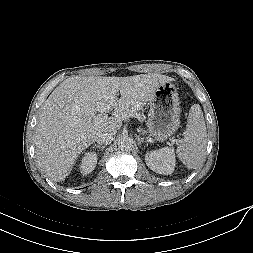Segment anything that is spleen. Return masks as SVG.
Listing matches in <instances>:
<instances>
[{"label": "spleen", "mask_w": 253, "mask_h": 253, "mask_svg": "<svg viewBox=\"0 0 253 253\" xmlns=\"http://www.w3.org/2000/svg\"><path fill=\"white\" fill-rule=\"evenodd\" d=\"M207 133L203 113L199 104L190 108L183 138L177 147V156L189 169L202 166L207 146Z\"/></svg>", "instance_id": "1"}]
</instances>
